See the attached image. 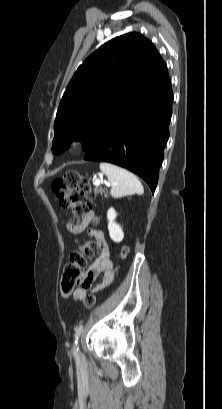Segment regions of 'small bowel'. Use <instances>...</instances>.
Listing matches in <instances>:
<instances>
[{
	"instance_id": "obj_1",
	"label": "small bowel",
	"mask_w": 222,
	"mask_h": 409,
	"mask_svg": "<svg viewBox=\"0 0 222 409\" xmlns=\"http://www.w3.org/2000/svg\"><path fill=\"white\" fill-rule=\"evenodd\" d=\"M93 216L94 212L91 211L81 221H69L66 226L67 230L74 234L82 232ZM93 234L100 248V254L91 263L86 272H77L76 284L79 287L73 292V297L75 300L79 301L85 300L89 292H98L109 286L118 270L114 264L112 252L103 234L100 231H94ZM98 276H102L100 283L92 287L93 281Z\"/></svg>"
}]
</instances>
